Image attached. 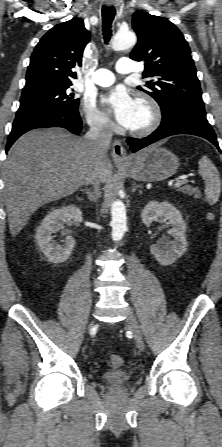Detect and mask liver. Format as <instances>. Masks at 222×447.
Masks as SVG:
<instances>
[{"label":"liver","mask_w":222,"mask_h":447,"mask_svg":"<svg viewBox=\"0 0 222 447\" xmlns=\"http://www.w3.org/2000/svg\"><path fill=\"white\" fill-rule=\"evenodd\" d=\"M93 161L85 138L61 128L33 130L11 147L4 163V201L10 233L18 235L44 204L72 195L83 185ZM110 160L98 166L100 182L109 175Z\"/></svg>","instance_id":"6515ba94"}]
</instances>
